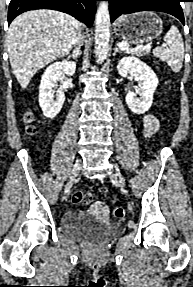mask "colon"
Returning <instances> with one entry per match:
<instances>
[{"mask_svg": "<svg viewBox=\"0 0 193 287\" xmlns=\"http://www.w3.org/2000/svg\"><path fill=\"white\" fill-rule=\"evenodd\" d=\"M26 119L28 122L31 121V115H27ZM34 127L32 125L27 126V132L32 134L34 132ZM72 201L75 204H85L88 205L93 201V196L90 193H85L82 191H75L72 195ZM114 215L118 219H123L125 216V210L122 207H118L114 211Z\"/></svg>", "mask_w": 193, "mask_h": 287, "instance_id": "1", "label": "colon"}]
</instances>
